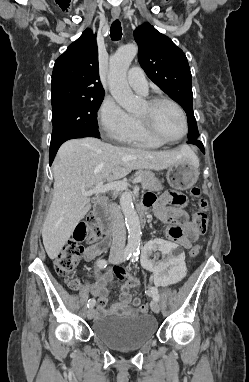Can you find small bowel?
<instances>
[{
    "label": "small bowel",
    "mask_w": 249,
    "mask_h": 382,
    "mask_svg": "<svg viewBox=\"0 0 249 382\" xmlns=\"http://www.w3.org/2000/svg\"><path fill=\"white\" fill-rule=\"evenodd\" d=\"M144 205L151 207L156 217L171 226L167 231L168 238L171 241H177L181 248L188 249L196 241L200 232L194 221L190 220L188 213L184 210L187 204L185 195L167 191L160 197L153 192H148L143 198ZM110 245L109 239H103L101 242L91 245L84 252V260L89 262L98 255L107 251ZM116 279L120 283L121 293L119 301L110 308H106L108 289L110 282ZM137 277L128 276L120 268L113 271H107L100 276L96 283L90 287L92 295L97 299L96 311L101 317L129 314L131 302V290L138 286Z\"/></svg>",
    "instance_id": "c3829d8e"
}]
</instances>
